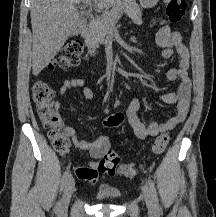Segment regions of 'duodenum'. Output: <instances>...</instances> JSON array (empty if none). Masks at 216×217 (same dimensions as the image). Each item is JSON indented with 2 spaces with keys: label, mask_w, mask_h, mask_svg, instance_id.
Wrapping results in <instances>:
<instances>
[{
  "label": "duodenum",
  "mask_w": 216,
  "mask_h": 217,
  "mask_svg": "<svg viewBox=\"0 0 216 217\" xmlns=\"http://www.w3.org/2000/svg\"><path fill=\"white\" fill-rule=\"evenodd\" d=\"M87 34H88V27H84L82 30V35L87 36Z\"/></svg>",
  "instance_id": "duodenum-1"
}]
</instances>
